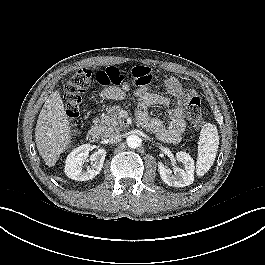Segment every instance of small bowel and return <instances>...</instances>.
I'll list each match as a JSON object with an SVG mask.
<instances>
[{
    "label": "small bowel",
    "instance_id": "small-bowel-1",
    "mask_svg": "<svg viewBox=\"0 0 265 265\" xmlns=\"http://www.w3.org/2000/svg\"><path fill=\"white\" fill-rule=\"evenodd\" d=\"M131 73L146 79L144 83L135 84L137 88L135 93L138 97L137 116L140 125L149 128L159 139L164 142L176 144L178 143L185 130V122L183 119V106L193 95L186 91L181 83L175 78H167L164 81L166 91L171 98L174 99L175 105L169 110L170 124L166 126L162 120L152 118L148 115L150 106H166L171 103L169 97L152 93L148 90L150 82V72L146 67H135ZM131 90L128 82H124L121 86H108L102 90L101 95L106 99L121 100L127 92Z\"/></svg>",
    "mask_w": 265,
    "mask_h": 265
}]
</instances>
